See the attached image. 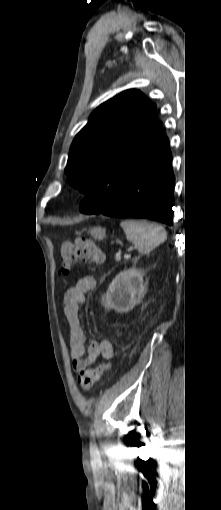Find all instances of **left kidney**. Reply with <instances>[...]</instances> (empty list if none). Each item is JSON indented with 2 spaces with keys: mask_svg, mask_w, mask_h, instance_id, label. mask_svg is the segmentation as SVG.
<instances>
[{
  "mask_svg": "<svg viewBox=\"0 0 221 510\" xmlns=\"http://www.w3.org/2000/svg\"><path fill=\"white\" fill-rule=\"evenodd\" d=\"M146 292L143 274L136 268L120 272L109 285L101 297V304L106 309H114L119 313H126L140 302Z\"/></svg>",
  "mask_w": 221,
  "mask_h": 510,
  "instance_id": "obj_1",
  "label": "left kidney"
}]
</instances>
